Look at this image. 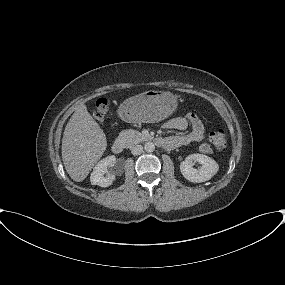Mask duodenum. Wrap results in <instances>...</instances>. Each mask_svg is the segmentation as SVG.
<instances>
[{"label":"duodenum","instance_id":"obj_1","mask_svg":"<svg viewBox=\"0 0 285 285\" xmlns=\"http://www.w3.org/2000/svg\"><path fill=\"white\" fill-rule=\"evenodd\" d=\"M155 144H157L158 146L161 147H166L167 146V141L163 138H155L154 139ZM126 148V144L125 141L121 138L116 139L113 144H112V152L115 154H120L122 152H124Z\"/></svg>","mask_w":285,"mask_h":285}]
</instances>
